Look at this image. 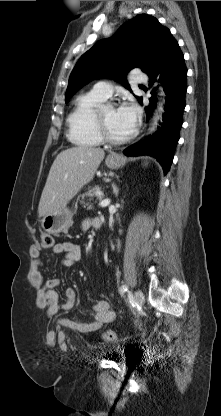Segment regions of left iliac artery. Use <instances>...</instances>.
<instances>
[{
    "label": "left iliac artery",
    "instance_id": "1",
    "mask_svg": "<svg viewBox=\"0 0 221 416\" xmlns=\"http://www.w3.org/2000/svg\"><path fill=\"white\" fill-rule=\"evenodd\" d=\"M128 287L127 285H122L119 289L120 294H124L125 292H127Z\"/></svg>",
    "mask_w": 221,
    "mask_h": 416
}]
</instances>
